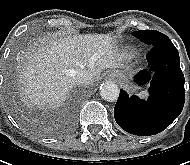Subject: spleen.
<instances>
[{
    "label": "spleen",
    "mask_w": 190,
    "mask_h": 165,
    "mask_svg": "<svg viewBox=\"0 0 190 165\" xmlns=\"http://www.w3.org/2000/svg\"><path fill=\"white\" fill-rule=\"evenodd\" d=\"M142 95H147L146 91H143V92H142Z\"/></svg>",
    "instance_id": "3e777b00"
}]
</instances>
